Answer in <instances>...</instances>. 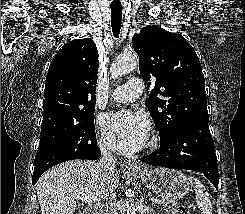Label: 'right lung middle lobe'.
<instances>
[{
  "instance_id": "right-lung-middle-lobe-1",
  "label": "right lung middle lobe",
  "mask_w": 245,
  "mask_h": 214,
  "mask_svg": "<svg viewBox=\"0 0 245 214\" xmlns=\"http://www.w3.org/2000/svg\"><path fill=\"white\" fill-rule=\"evenodd\" d=\"M96 145L94 111H92L76 122L41 132L34 170H47L72 159H88L89 150Z\"/></svg>"
}]
</instances>
